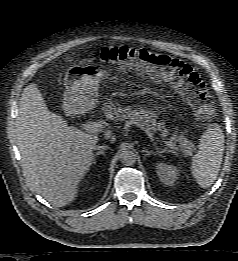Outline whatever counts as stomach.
Wrapping results in <instances>:
<instances>
[{
	"instance_id": "1",
	"label": "stomach",
	"mask_w": 238,
	"mask_h": 261,
	"mask_svg": "<svg viewBox=\"0 0 238 261\" xmlns=\"http://www.w3.org/2000/svg\"><path fill=\"white\" fill-rule=\"evenodd\" d=\"M106 71L89 66L70 67L64 77V107L71 113H84L98 101L100 80Z\"/></svg>"
}]
</instances>
